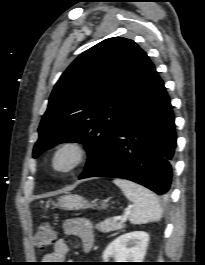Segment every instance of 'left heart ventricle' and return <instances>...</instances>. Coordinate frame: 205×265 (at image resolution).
Returning <instances> with one entry per match:
<instances>
[{
  "instance_id": "obj_1",
  "label": "left heart ventricle",
  "mask_w": 205,
  "mask_h": 265,
  "mask_svg": "<svg viewBox=\"0 0 205 265\" xmlns=\"http://www.w3.org/2000/svg\"><path fill=\"white\" fill-rule=\"evenodd\" d=\"M72 155L70 152H64L57 158V165L60 167L66 166L71 161Z\"/></svg>"
}]
</instances>
